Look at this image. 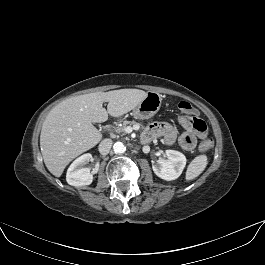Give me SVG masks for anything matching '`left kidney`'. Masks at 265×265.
Listing matches in <instances>:
<instances>
[{
  "instance_id": "obj_1",
  "label": "left kidney",
  "mask_w": 265,
  "mask_h": 265,
  "mask_svg": "<svg viewBox=\"0 0 265 265\" xmlns=\"http://www.w3.org/2000/svg\"><path fill=\"white\" fill-rule=\"evenodd\" d=\"M165 157L159 158L157 163L152 166V169L163 180H175L181 175L186 165V157L175 150H166Z\"/></svg>"
}]
</instances>
